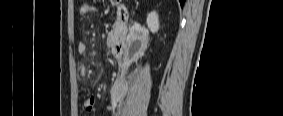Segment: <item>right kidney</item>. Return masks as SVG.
<instances>
[{"label": "right kidney", "instance_id": "obj_1", "mask_svg": "<svg viewBox=\"0 0 283 116\" xmlns=\"http://www.w3.org/2000/svg\"><path fill=\"white\" fill-rule=\"evenodd\" d=\"M146 23L152 33H156L159 29L158 14L153 11L148 14ZM148 45V36L146 34H136L129 40V51L133 59H138L144 55Z\"/></svg>", "mask_w": 283, "mask_h": 116}]
</instances>
